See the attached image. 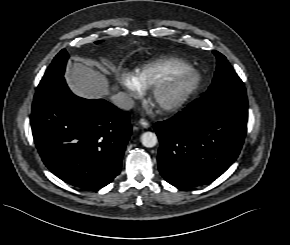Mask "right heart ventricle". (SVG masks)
Listing matches in <instances>:
<instances>
[{"label":"right heart ventricle","instance_id":"obj_1","mask_svg":"<svg viewBox=\"0 0 290 245\" xmlns=\"http://www.w3.org/2000/svg\"><path fill=\"white\" fill-rule=\"evenodd\" d=\"M188 67H190V64L183 59L162 57L137 67L132 75L140 89L146 91L167 74L178 72Z\"/></svg>","mask_w":290,"mask_h":245}]
</instances>
